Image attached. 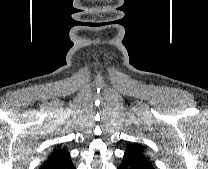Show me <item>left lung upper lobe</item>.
Masks as SVG:
<instances>
[{
    "label": "left lung upper lobe",
    "mask_w": 208,
    "mask_h": 169,
    "mask_svg": "<svg viewBox=\"0 0 208 169\" xmlns=\"http://www.w3.org/2000/svg\"><path fill=\"white\" fill-rule=\"evenodd\" d=\"M127 149H132V150L138 151V152L144 154L147 157V159L150 160V158L145 154V151L143 150V147L140 144L135 143V144L127 147Z\"/></svg>",
    "instance_id": "left-lung-upper-lobe-1"
}]
</instances>
